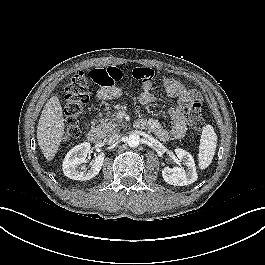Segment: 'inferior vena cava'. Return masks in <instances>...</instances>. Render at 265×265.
Segmentation results:
<instances>
[{"mask_svg": "<svg viewBox=\"0 0 265 265\" xmlns=\"http://www.w3.org/2000/svg\"><path fill=\"white\" fill-rule=\"evenodd\" d=\"M120 138H121L120 134L112 133V134H109L104 140L108 144H114V143L118 142Z\"/></svg>", "mask_w": 265, "mask_h": 265, "instance_id": "1", "label": "inferior vena cava"}]
</instances>
